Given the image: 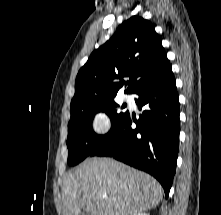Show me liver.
<instances>
[{"label": "liver", "mask_w": 221, "mask_h": 215, "mask_svg": "<svg viewBox=\"0 0 221 215\" xmlns=\"http://www.w3.org/2000/svg\"><path fill=\"white\" fill-rule=\"evenodd\" d=\"M162 186L149 174L110 158H89L66 175L64 215H134L156 207Z\"/></svg>", "instance_id": "6515ba94"}]
</instances>
